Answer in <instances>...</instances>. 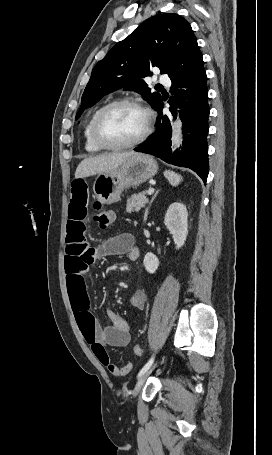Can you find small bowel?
<instances>
[{
    "label": "small bowel",
    "mask_w": 272,
    "mask_h": 455,
    "mask_svg": "<svg viewBox=\"0 0 272 455\" xmlns=\"http://www.w3.org/2000/svg\"><path fill=\"white\" fill-rule=\"evenodd\" d=\"M88 200L86 180L75 178L71 184L65 245L68 293L78 327L93 354L112 375L122 377L132 370L133 364L129 362L117 366L112 363L108 347H124L129 343V323L115 311L107 309L106 316L110 324L107 327L100 325L90 309L86 277L90 266L101 257L126 254L130 260L135 261L140 256V250L133 235L129 233L110 237L96 248L89 246L85 237ZM146 298L145 291L135 290L129 301L133 307L142 310Z\"/></svg>",
    "instance_id": "obj_1"
}]
</instances>
